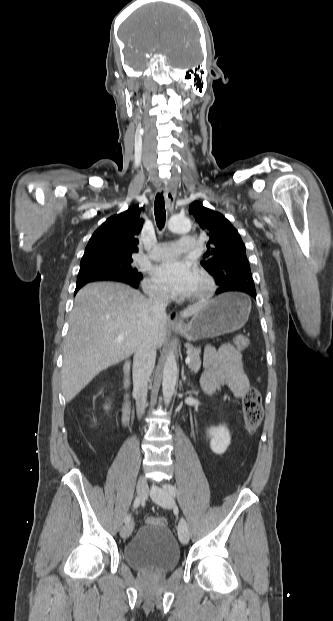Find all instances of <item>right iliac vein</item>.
<instances>
[{
    "label": "right iliac vein",
    "instance_id": "obj_1",
    "mask_svg": "<svg viewBox=\"0 0 333 621\" xmlns=\"http://www.w3.org/2000/svg\"><path fill=\"white\" fill-rule=\"evenodd\" d=\"M137 493L140 497L144 498L146 496L147 493V480L146 477L144 476H140L138 481H137ZM134 524L133 522H130L128 524H126L125 526H123L121 528L120 531V535L122 538H128L130 536V534L132 533Z\"/></svg>",
    "mask_w": 333,
    "mask_h": 621
}]
</instances>
